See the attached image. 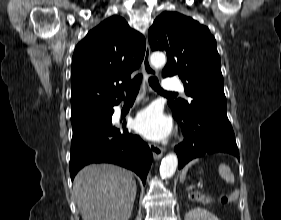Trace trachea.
<instances>
[{
	"mask_svg": "<svg viewBox=\"0 0 281 220\" xmlns=\"http://www.w3.org/2000/svg\"><path fill=\"white\" fill-rule=\"evenodd\" d=\"M141 81H142V74H139L137 75L132 81L131 83L125 88V91H126V96L129 97V96H135L138 94L139 92V89H140V84H141ZM149 84L151 85V87L161 93V94H165V95H176L175 93H172V92H167V91H164L160 84H159V81L156 77L152 76L149 78Z\"/></svg>",
	"mask_w": 281,
	"mask_h": 220,
	"instance_id": "3493384b",
	"label": "trachea"
}]
</instances>
